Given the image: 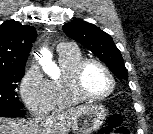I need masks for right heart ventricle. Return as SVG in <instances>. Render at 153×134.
Wrapping results in <instances>:
<instances>
[{
  "label": "right heart ventricle",
  "instance_id": "e07e8e85",
  "mask_svg": "<svg viewBox=\"0 0 153 134\" xmlns=\"http://www.w3.org/2000/svg\"><path fill=\"white\" fill-rule=\"evenodd\" d=\"M82 59V53L75 47L58 53L62 75L49 81L50 110L68 108L82 101L74 95L70 82L72 70Z\"/></svg>",
  "mask_w": 153,
  "mask_h": 134
}]
</instances>
